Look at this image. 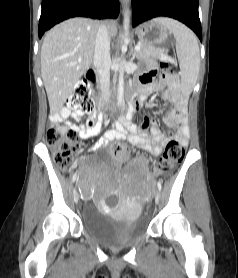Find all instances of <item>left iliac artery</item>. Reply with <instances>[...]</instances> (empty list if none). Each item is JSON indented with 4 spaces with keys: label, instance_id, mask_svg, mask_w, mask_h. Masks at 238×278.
<instances>
[{
    "label": "left iliac artery",
    "instance_id": "1",
    "mask_svg": "<svg viewBox=\"0 0 238 278\" xmlns=\"http://www.w3.org/2000/svg\"><path fill=\"white\" fill-rule=\"evenodd\" d=\"M157 187H158V189H159V190H161L162 185H161V183H160V182H157Z\"/></svg>",
    "mask_w": 238,
    "mask_h": 278
}]
</instances>
